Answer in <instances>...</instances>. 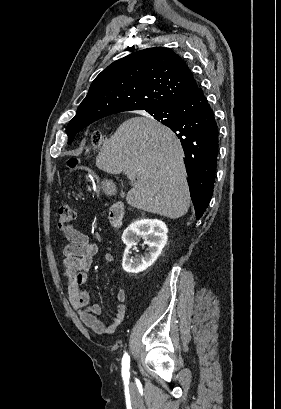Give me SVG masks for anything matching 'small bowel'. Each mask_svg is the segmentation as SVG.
Here are the masks:
<instances>
[{"label": "small bowel", "mask_w": 281, "mask_h": 409, "mask_svg": "<svg viewBox=\"0 0 281 409\" xmlns=\"http://www.w3.org/2000/svg\"><path fill=\"white\" fill-rule=\"evenodd\" d=\"M68 243L62 250V272L66 281L68 299L77 311L80 320L92 331L100 335L114 333L123 323L127 313V293L120 289L117 291L115 314L108 325H104L97 316L102 313L99 303H92L90 293L82 289L88 281V270L93 257L98 253V245L90 241L89 237L73 227L65 229ZM105 262L113 264L112 254H106Z\"/></svg>", "instance_id": "c3829d8e"}]
</instances>
